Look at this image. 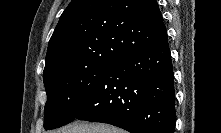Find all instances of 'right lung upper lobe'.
Masks as SVG:
<instances>
[{
  "mask_svg": "<svg viewBox=\"0 0 221 133\" xmlns=\"http://www.w3.org/2000/svg\"><path fill=\"white\" fill-rule=\"evenodd\" d=\"M167 39L156 0H72L49 41L43 76L67 66L111 64Z\"/></svg>",
  "mask_w": 221,
  "mask_h": 133,
  "instance_id": "cb5924a9",
  "label": "right lung upper lobe"
}]
</instances>
